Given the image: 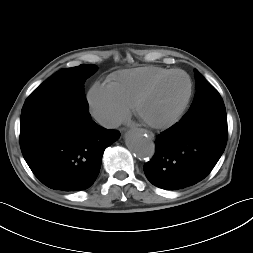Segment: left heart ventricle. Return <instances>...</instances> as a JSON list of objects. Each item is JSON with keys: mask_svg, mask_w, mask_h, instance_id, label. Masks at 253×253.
Here are the masks:
<instances>
[{"mask_svg": "<svg viewBox=\"0 0 253 253\" xmlns=\"http://www.w3.org/2000/svg\"><path fill=\"white\" fill-rule=\"evenodd\" d=\"M188 90L187 79L174 74L164 80L142 105V115L152 122H163L171 118L182 103Z\"/></svg>", "mask_w": 253, "mask_h": 253, "instance_id": "left-heart-ventricle-1", "label": "left heart ventricle"}]
</instances>
